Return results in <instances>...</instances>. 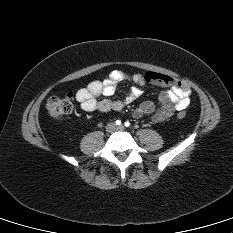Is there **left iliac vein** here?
I'll return each mask as SVG.
<instances>
[{"instance_id":"1","label":"left iliac vein","mask_w":233,"mask_h":233,"mask_svg":"<svg viewBox=\"0 0 233 233\" xmlns=\"http://www.w3.org/2000/svg\"><path fill=\"white\" fill-rule=\"evenodd\" d=\"M124 129H125V127L123 125H120L117 127V130H124Z\"/></svg>"}]
</instances>
